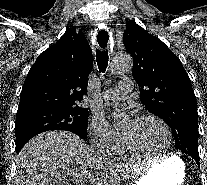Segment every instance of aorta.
Here are the masks:
<instances>
[{"label":"aorta","instance_id":"aorta-1","mask_svg":"<svg viewBox=\"0 0 207 185\" xmlns=\"http://www.w3.org/2000/svg\"><path fill=\"white\" fill-rule=\"evenodd\" d=\"M133 60L128 54H120L112 58L109 64V70L112 74L123 75L132 69ZM113 117L117 122V125L122 124L123 115L116 112L113 113Z\"/></svg>","mask_w":207,"mask_h":185}]
</instances>
